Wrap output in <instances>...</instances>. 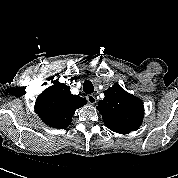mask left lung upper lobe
Instances as JSON below:
<instances>
[{
    "instance_id": "5c2ea615",
    "label": "left lung upper lobe",
    "mask_w": 178,
    "mask_h": 178,
    "mask_svg": "<svg viewBox=\"0 0 178 178\" xmlns=\"http://www.w3.org/2000/svg\"><path fill=\"white\" fill-rule=\"evenodd\" d=\"M104 94L105 97L99 101L97 109L105 125L120 134L137 130L144 116L143 102L118 84L104 91Z\"/></svg>"
}]
</instances>
